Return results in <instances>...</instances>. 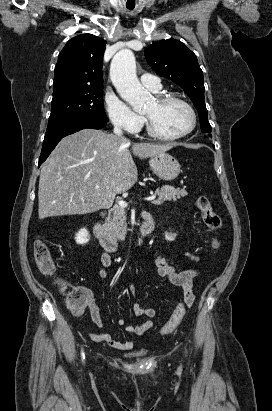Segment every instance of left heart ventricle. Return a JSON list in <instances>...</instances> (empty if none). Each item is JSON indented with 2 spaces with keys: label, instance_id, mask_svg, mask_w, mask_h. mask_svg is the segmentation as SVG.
I'll use <instances>...</instances> for the list:
<instances>
[{
  "label": "left heart ventricle",
  "instance_id": "obj_1",
  "mask_svg": "<svg viewBox=\"0 0 272 411\" xmlns=\"http://www.w3.org/2000/svg\"><path fill=\"white\" fill-rule=\"evenodd\" d=\"M155 128L165 135H176L184 132L191 125L189 110L180 103L160 105L153 100L144 109Z\"/></svg>",
  "mask_w": 272,
  "mask_h": 411
}]
</instances>
